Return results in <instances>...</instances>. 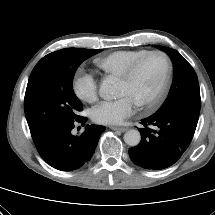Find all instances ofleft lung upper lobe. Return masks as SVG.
<instances>
[{"label": "left lung upper lobe", "mask_w": 215, "mask_h": 215, "mask_svg": "<svg viewBox=\"0 0 215 215\" xmlns=\"http://www.w3.org/2000/svg\"><path fill=\"white\" fill-rule=\"evenodd\" d=\"M157 47L171 57L175 74L168 97L156 114L177 112L198 121L201 99L194 69L178 51L163 46Z\"/></svg>", "instance_id": "obj_1"}]
</instances>
